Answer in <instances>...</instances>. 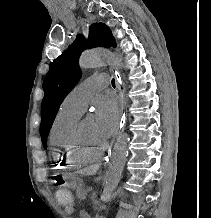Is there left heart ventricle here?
<instances>
[{
    "label": "left heart ventricle",
    "instance_id": "b2bd125f",
    "mask_svg": "<svg viewBox=\"0 0 211 218\" xmlns=\"http://www.w3.org/2000/svg\"><path fill=\"white\" fill-rule=\"evenodd\" d=\"M82 135L85 142L93 147H101L107 141L97 132L95 122L92 118L83 120Z\"/></svg>",
    "mask_w": 211,
    "mask_h": 218
}]
</instances>
